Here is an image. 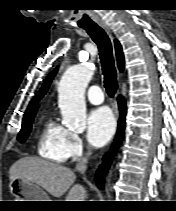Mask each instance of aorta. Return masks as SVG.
Returning a JSON list of instances; mask_svg holds the SVG:
<instances>
[{
  "instance_id": "obj_1",
  "label": "aorta",
  "mask_w": 176,
  "mask_h": 211,
  "mask_svg": "<svg viewBox=\"0 0 176 211\" xmlns=\"http://www.w3.org/2000/svg\"><path fill=\"white\" fill-rule=\"evenodd\" d=\"M94 74L91 64L68 68L58 86V104L66 127L75 131L86 128L85 89Z\"/></svg>"
}]
</instances>
